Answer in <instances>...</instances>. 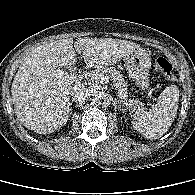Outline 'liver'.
<instances>
[{
	"label": "liver",
	"mask_w": 195,
	"mask_h": 195,
	"mask_svg": "<svg viewBox=\"0 0 195 195\" xmlns=\"http://www.w3.org/2000/svg\"><path fill=\"white\" fill-rule=\"evenodd\" d=\"M75 49V50H74ZM136 43L112 39H61L27 54L11 86L17 119L39 134L53 133L67 123L74 79L59 66L76 64L75 51L90 68L114 65L132 54Z\"/></svg>",
	"instance_id": "1"
}]
</instances>
